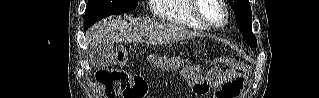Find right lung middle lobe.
I'll use <instances>...</instances> for the list:
<instances>
[{
    "label": "right lung middle lobe",
    "mask_w": 319,
    "mask_h": 98,
    "mask_svg": "<svg viewBox=\"0 0 319 98\" xmlns=\"http://www.w3.org/2000/svg\"><path fill=\"white\" fill-rule=\"evenodd\" d=\"M138 6V0H88L84 27H90L102 18L128 12Z\"/></svg>",
    "instance_id": "right-lung-middle-lobe-1"
}]
</instances>
